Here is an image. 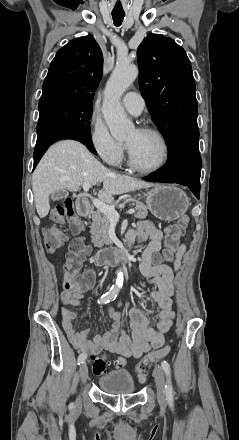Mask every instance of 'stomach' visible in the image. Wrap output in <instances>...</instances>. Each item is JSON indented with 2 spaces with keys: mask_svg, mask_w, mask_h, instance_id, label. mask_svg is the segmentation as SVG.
I'll return each mask as SVG.
<instances>
[{
  "mask_svg": "<svg viewBox=\"0 0 239 440\" xmlns=\"http://www.w3.org/2000/svg\"><path fill=\"white\" fill-rule=\"evenodd\" d=\"M146 204L155 218L165 222L178 220L190 206L188 196L176 186H154L147 194Z\"/></svg>",
  "mask_w": 239,
  "mask_h": 440,
  "instance_id": "stomach-1",
  "label": "stomach"
}]
</instances>
